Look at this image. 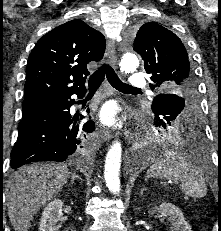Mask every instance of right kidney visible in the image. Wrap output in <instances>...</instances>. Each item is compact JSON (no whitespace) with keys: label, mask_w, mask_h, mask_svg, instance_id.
<instances>
[{"label":"right kidney","mask_w":221,"mask_h":231,"mask_svg":"<svg viewBox=\"0 0 221 231\" xmlns=\"http://www.w3.org/2000/svg\"><path fill=\"white\" fill-rule=\"evenodd\" d=\"M63 202L60 199H54L44 208L40 220V231H56L60 225L57 223L63 216Z\"/></svg>","instance_id":"1"}]
</instances>
